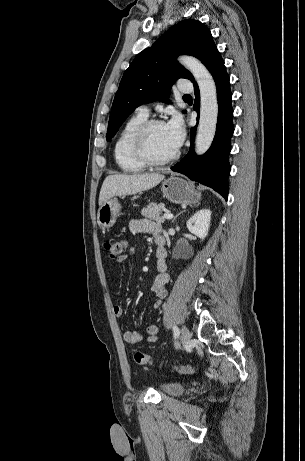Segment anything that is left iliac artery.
<instances>
[{
	"label": "left iliac artery",
	"instance_id": "44dca946",
	"mask_svg": "<svg viewBox=\"0 0 305 461\" xmlns=\"http://www.w3.org/2000/svg\"><path fill=\"white\" fill-rule=\"evenodd\" d=\"M173 333L174 337L177 338L180 334L179 328L177 326H173Z\"/></svg>",
	"mask_w": 305,
	"mask_h": 461
}]
</instances>
